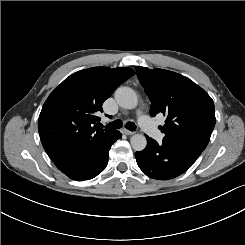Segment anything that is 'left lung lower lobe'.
Wrapping results in <instances>:
<instances>
[{
  "label": "left lung lower lobe",
  "mask_w": 245,
  "mask_h": 245,
  "mask_svg": "<svg viewBox=\"0 0 245 245\" xmlns=\"http://www.w3.org/2000/svg\"><path fill=\"white\" fill-rule=\"evenodd\" d=\"M147 146L136 152L139 168L150 178L169 180L180 176L200 156L184 145L163 139L162 144L146 136Z\"/></svg>",
  "instance_id": "1"
}]
</instances>
